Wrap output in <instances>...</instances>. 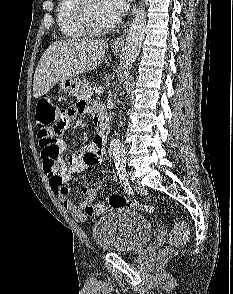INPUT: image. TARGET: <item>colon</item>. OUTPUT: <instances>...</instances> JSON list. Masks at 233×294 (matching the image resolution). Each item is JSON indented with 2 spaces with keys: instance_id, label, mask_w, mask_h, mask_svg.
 <instances>
[{
  "instance_id": "5ec220e1",
  "label": "colon",
  "mask_w": 233,
  "mask_h": 294,
  "mask_svg": "<svg viewBox=\"0 0 233 294\" xmlns=\"http://www.w3.org/2000/svg\"><path fill=\"white\" fill-rule=\"evenodd\" d=\"M58 105L49 97H44L39 100L36 108L35 121L39 129V132H52L51 123L53 120H58ZM71 108V107H70ZM43 143L52 144L56 137H40ZM131 208L139 209L148 212L153 211V206L150 204L141 203L137 200L128 199L120 194H112L107 203H97L88 207L87 212L93 215H100L105 213L109 209L117 208ZM189 234V229L186 223L177 222L169 236V242L172 246L183 244Z\"/></svg>"
}]
</instances>
